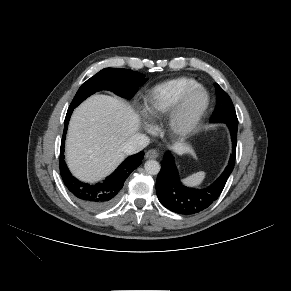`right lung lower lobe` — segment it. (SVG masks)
Returning <instances> with one entry per match:
<instances>
[{
	"label": "right lung lower lobe",
	"instance_id": "98d812e1",
	"mask_svg": "<svg viewBox=\"0 0 291 291\" xmlns=\"http://www.w3.org/2000/svg\"><path fill=\"white\" fill-rule=\"evenodd\" d=\"M73 109L69 108L65 117L60 149V174L67 189L84 208L90 211H102L111 207L117 201L124 181L141 164L144 152L128 157L115 172L102 182L88 184L79 181L69 172L63 155L67 127Z\"/></svg>",
	"mask_w": 291,
	"mask_h": 291
}]
</instances>
